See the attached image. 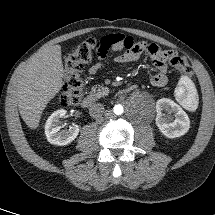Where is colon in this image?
Segmentation results:
<instances>
[{
  "mask_svg": "<svg viewBox=\"0 0 215 215\" xmlns=\"http://www.w3.org/2000/svg\"><path fill=\"white\" fill-rule=\"evenodd\" d=\"M98 51L97 41L89 38L80 43L64 61V86L61 94L58 96V103L64 106L79 103L83 95V80L81 72L85 63L90 61L93 55ZM169 62L184 72L191 75L187 60L177 53L169 56Z\"/></svg>",
  "mask_w": 215,
  "mask_h": 215,
  "instance_id": "obj_1",
  "label": "colon"
}]
</instances>
